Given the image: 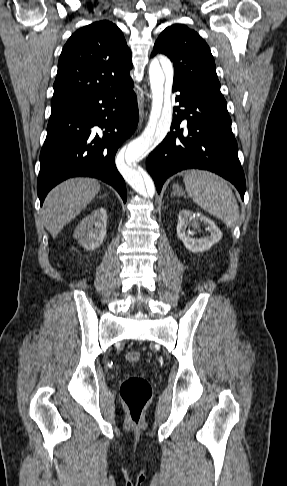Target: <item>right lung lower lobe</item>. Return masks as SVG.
<instances>
[{"label":"right lung lower lobe","mask_w":287,"mask_h":486,"mask_svg":"<svg viewBox=\"0 0 287 486\" xmlns=\"http://www.w3.org/2000/svg\"><path fill=\"white\" fill-rule=\"evenodd\" d=\"M132 88L131 81L51 113L37 180L41 205L55 185L74 176L98 178L113 186L126 202V185L114 158L137 127L138 106Z\"/></svg>","instance_id":"98d812e1"}]
</instances>
